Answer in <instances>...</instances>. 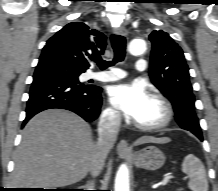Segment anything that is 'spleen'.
I'll list each match as a JSON object with an SVG mask.
<instances>
[{
	"label": "spleen",
	"instance_id": "3e777b00",
	"mask_svg": "<svg viewBox=\"0 0 218 191\" xmlns=\"http://www.w3.org/2000/svg\"><path fill=\"white\" fill-rule=\"evenodd\" d=\"M182 171L189 176L188 187L192 191H208L206 171L199 158L188 154L183 160Z\"/></svg>",
	"mask_w": 218,
	"mask_h": 191
}]
</instances>
